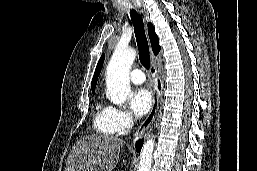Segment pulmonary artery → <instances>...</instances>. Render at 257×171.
<instances>
[{
    "label": "pulmonary artery",
    "instance_id": "obj_1",
    "mask_svg": "<svg viewBox=\"0 0 257 171\" xmlns=\"http://www.w3.org/2000/svg\"><path fill=\"white\" fill-rule=\"evenodd\" d=\"M145 79V74L141 69L136 68L130 73V80L134 84H142L144 83Z\"/></svg>",
    "mask_w": 257,
    "mask_h": 171
}]
</instances>
